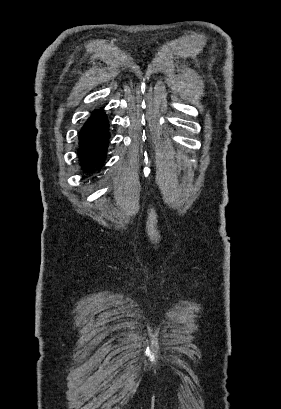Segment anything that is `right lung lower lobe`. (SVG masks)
Segmentation results:
<instances>
[{"instance_id":"obj_1","label":"right lung lower lobe","mask_w":281,"mask_h":409,"mask_svg":"<svg viewBox=\"0 0 281 409\" xmlns=\"http://www.w3.org/2000/svg\"><path fill=\"white\" fill-rule=\"evenodd\" d=\"M109 121L102 108L92 112L79 133L78 154L83 170L102 167L109 142Z\"/></svg>"}]
</instances>
